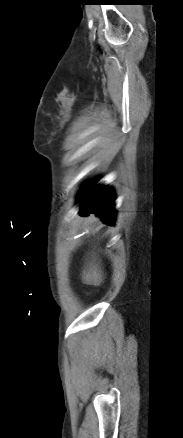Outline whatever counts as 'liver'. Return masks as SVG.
Returning a JSON list of instances; mask_svg holds the SVG:
<instances>
[{"label":"liver","instance_id":"1","mask_svg":"<svg viewBox=\"0 0 183 438\" xmlns=\"http://www.w3.org/2000/svg\"><path fill=\"white\" fill-rule=\"evenodd\" d=\"M82 278L86 284L100 285L103 281L102 273L96 264H90L89 268L84 271Z\"/></svg>","mask_w":183,"mask_h":438}]
</instances>
